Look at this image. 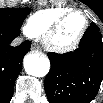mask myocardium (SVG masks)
Returning a JSON list of instances; mask_svg holds the SVG:
<instances>
[{
  "label": "myocardium",
  "instance_id": "obj_1",
  "mask_svg": "<svg viewBox=\"0 0 103 103\" xmlns=\"http://www.w3.org/2000/svg\"><path fill=\"white\" fill-rule=\"evenodd\" d=\"M74 14H81L84 17L85 23H84V27H83L81 33L78 35V37L73 42H71L69 44H66V45H57V44H55L53 42V37H54L55 33L59 30L61 25L70 16H72ZM88 28H89V19H88L87 14L83 10H80V9L69 10V11L63 13L62 15H60L59 17H57L49 25V27L46 29V31L42 35L43 45L46 49H48L52 52H56V53L70 52V51H72V50H74L78 47V45L81 43V41L85 37Z\"/></svg>",
  "mask_w": 103,
  "mask_h": 103
}]
</instances>
